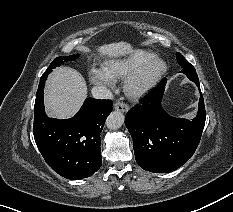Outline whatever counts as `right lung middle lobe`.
<instances>
[{"instance_id": "dd1d6c3e", "label": "right lung middle lobe", "mask_w": 233, "mask_h": 212, "mask_svg": "<svg viewBox=\"0 0 233 212\" xmlns=\"http://www.w3.org/2000/svg\"><path fill=\"white\" fill-rule=\"evenodd\" d=\"M78 56L79 55L77 54V55H71L67 57H62V56L57 57L56 59L52 61L48 69L42 75L41 79L46 80L47 75L52 71V69H54L56 66H59L61 63H63V61H72V60H75Z\"/></svg>"}]
</instances>
